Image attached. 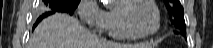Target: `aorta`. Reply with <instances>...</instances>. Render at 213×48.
<instances>
[{"label":"aorta","instance_id":"1","mask_svg":"<svg viewBox=\"0 0 213 48\" xmlns=\"http://www.w3.org/2000/svg\"><path fill=\"white\" fill-rule=\"evenodd\" d=\"M103 2H113L114 0H102Z\"/></svg>","mask_w":213,"mask_h":48}]
</instances>
